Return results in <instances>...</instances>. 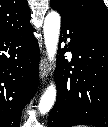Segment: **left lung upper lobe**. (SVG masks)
<instances>
[{"instance_id":"left-lung-upper-lobe-1","label":"left lung upper lobe","mask_w":108,"mask_h":127,"mask_svg":"<svg viewBox=\"0 0 108 127\" xmlns=\"http://www.w3.org/2000/svg\"><path fill=\"white\" fill-rule=\"evenodd\" d=\"M66 12L88 24L108 31V10L103 0H51Z\"/></svg>"}]
</instances>
